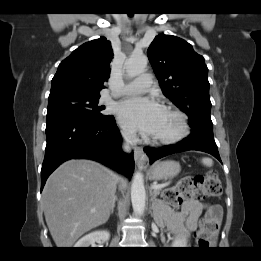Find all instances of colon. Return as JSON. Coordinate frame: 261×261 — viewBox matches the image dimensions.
I'll use <instances>...</instances> for the list:
<instances>
[{
	"label": "colon",
	"mask_w": 261,
	"mask_h": 261,
	"mask_svg": "<svg viewBox=\"0 0 261 261\" xmlns=\"http://www.w3.org/2000/svg\"><path fill=\"white\" fill-rule=\"evenodd\" d=\"M222 193V183L215 171L203 175L186 177L177 185L164 191L162 198L170 206L177 208L184 201L218 197ZM217 222L206 216L200 222L196 233V244L199 247H209L217 231Z\"/></svg>",
	"instance_id": "obj_1"
}]
</instances>
